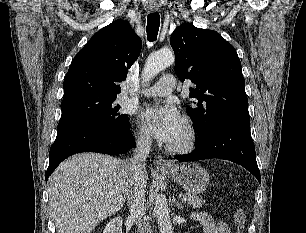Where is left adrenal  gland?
<instances>
[{
    "label": "left adrenal gland",
    "instance_id": "a2214340",
    "mask_svg": "<svg viewBox=\"0 0 306 233\" xmlns=\"http://www.w3.org/2000/svg\"><path fill=\"white\" fill-rule=\"evenodd\" d=\"M174 202H175V198H174ZM176 206L178 209H183L182 204H180L179 202H176Z\"/></svg>",
    "mask_w": 306,
    "mask_h": 233
}]
</instances>
